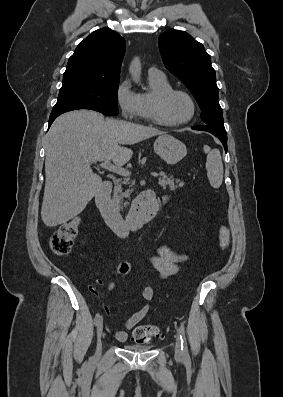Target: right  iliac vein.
<instances>
[{
    "instance_id": "63e3f726",
    "label": "right iliac vein",
    "mask_w": 283,
    "mask_h": 397,
    "mask_svg": "<svg viewBox=\"0 0 283 397\" xmlns=\"http://www.w3.org/2000/svg\"><path fill=\"white\" fill-rule=\"evenodd\" d=\"M103 331V320L100 319L99 323L97 324V349H96V356H99L102 349V342L101 336Z\"/></svg>"
}]
</instances>
